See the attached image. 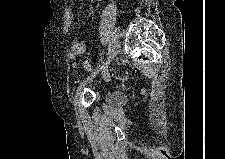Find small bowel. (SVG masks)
<instances>
[{"label": "small bowel", "mask_w": 225, "mask_h": 159, "mask_svg": "<svg viewBox=\"0 0 225 159\" xmlns=\"http://www.w3.org/2000/svg\"><path fill=\"white\" fill-rule=\"evenodd\" d=\"M86 51V43L81 40L74 41L72 48L70 50L69 56L72 61L77 57L82 56Z\"/></svg>", "instance_id": "obj_1"}]
</instances>
